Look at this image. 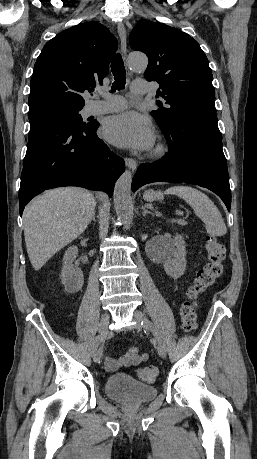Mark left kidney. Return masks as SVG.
<instances>
[{
    "mask_svg": "<svg viewBox=\"0 0 257 459\" xmlns=\"http://www.w3.org/2000/svg\"><path fill=\"white\" fill-rule=\"evenodd\" d=\"M163 267L167 275L174 279L180 278L186 270V244L183 237L176 234L163 249Z\"/></svg>",
    "mask_w": 257,
    "mask_h": 459,
    "instance_id": "obj_1",
    "label": "left kidney"
}]
</instances>
